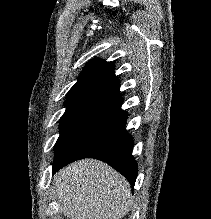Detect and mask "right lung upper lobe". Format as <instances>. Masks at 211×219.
<instances>
[{
    "mask_svg": "<svg viewBox=\"0 0 211 219\" xmlns=\"http://www.w3.org/2000/svg\"><path fill=\"white\" fill-rule=\"evenodd\" d=\"M66 102L94 100L121 107L119 82L114 74V64L105 60H91L82 70L78 81L69 90Z\"/></svg>",
    "mask_w": 211,
    "mask_h": 219,
    "instance_id": "right-lung-upper-lobe-1",
    "label": "right lung upper lobe"
}]
</instances>
